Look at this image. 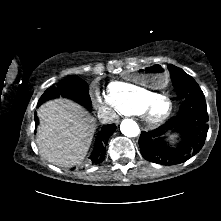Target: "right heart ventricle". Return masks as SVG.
Here are the masks:
<instances>
[{
  "label": "right heart ventricle",
  "mask_w": 221,
  "mask_h": 221,
  "mask_svg": "<svg viewBox=\"0 0 221 221\" xmlns=\"http://www.w3.org/2000/svg\"><path fill=\"white\" fill-rule=\"evenodd\" d=\"M156 95L157 93L130 82L114 81L108 85V96L121 114H140L143 105Z\"/></svg>",
  "instance_id": "1"
}]
</instances>
